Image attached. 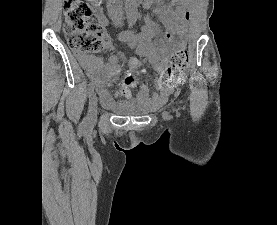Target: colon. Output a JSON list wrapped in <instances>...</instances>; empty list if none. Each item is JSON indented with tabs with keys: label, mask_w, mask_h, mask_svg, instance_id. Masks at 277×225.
Instances as JSON below:
<instances>
[{
	"label": "colon",
	"mask_w": 277,
	"mask_h": 225,
	"mask_svg": "<svg viewBox=\"0 0 277 225\" xmlns=\"http://www.w3.org/2000/svg\"><path fill=\"white\" fill-rule=\"evenodd\" d=\"M93 4L97 0H90ZM92 4V6H93ZM64 31L70 48L78 54L97 53L104 50L105 42L100 36V28L94 23L91 5L85 0H66L64 7ZM188 64L186 48L175 50L168 66L162 72V80L175 84L179 81L183 69ZM142 64L136 58H131L129 68L124 74L118 95L129 97L136 86Z\"/></svg>",
	"instance_id": "1"
}]
</instances>
